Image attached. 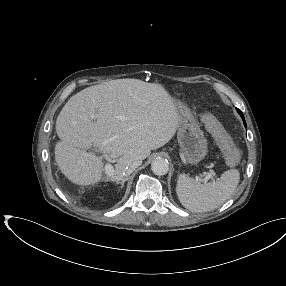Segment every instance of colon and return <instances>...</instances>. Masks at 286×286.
<instances>
[{
    "instance_id": "colon-1",
    "label": "colon",
    "mask_w": 286,
    "mask_h": 286,
    "mask_svg": "<svg viewBox=\"0 0 286 286\" xmlns=\"http://www.w3.org/2000/svg\"><path fill=\"white\" fill-rule=\"evenodd\" d=\"M203 123L222 149L228 166H235L239 159L238 151L225 128L209 113L203 115Z\"/></svg>"
}]
</instances>
